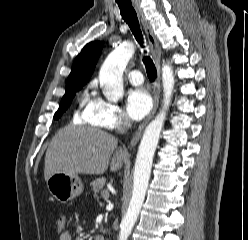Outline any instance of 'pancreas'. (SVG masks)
I'll return each mask as SVG.
<instances>
[{"mask_svg":"<svg viewBox=\"0 0 248 240\" xmlns=\"http://www.w3.org/2000/svg\"><path fill=\"white\" fill-rule=\"evenodd\" d=\"M105 178H97L94 181L91 182L92 190L94 192V196H97V193L103 192V187L105 185Z\"/></svg>","mask_w":248,"mask_h":240,"instance_id":"obj_1","label":"pancreas"}]
</instances>
